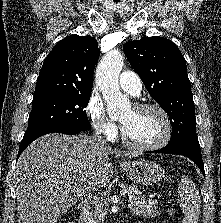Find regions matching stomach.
I'll return each mask as SVG.
<instances>
[{"mask_svg": "<svg viewBox=\"0 0 221 223\" xmlns=\"http://www.w3.org/2000/svg\"><path fill=\"white\" fill-rule=\"evenodd\" d=\"M121 170L139 185H153L164 176L163 168L150 160H134L120 164Z\"/></svg>", "mask_w": 221, "mask_h": 223, "instance_id": "1", "label": "stomach"}]
</instances>
